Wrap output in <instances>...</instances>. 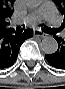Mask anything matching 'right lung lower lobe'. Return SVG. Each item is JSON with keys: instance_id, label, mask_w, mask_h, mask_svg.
<instances>
[{"instance_id": "98d812e1", "label": "right lung lower lobe", "mask_w": 65, "mask_h": 89, "mask_svg": "<svg viewBox=\"0 0 65 89\" xmlns=\"http://www.w3.org/2000/svg\"><path fill=\"white\" fill-rule=\"evenodd\" d=\"M33 36L31 29L23 33L12 29L0 30V69L8 68L14 64L22 43Z\"/></svg>"}]
</instances>
